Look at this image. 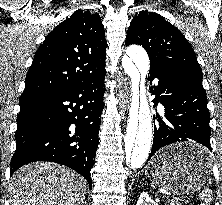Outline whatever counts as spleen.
I'll return each mask as SVG.
<instances>
[{"mask_svg": "<svg viewBox=\"0 0 222 205\" xmlns=\"http://www.w3.org/2000/svg\"><path fill=\"white\" fill-rule=\"evenodd\" d=\"M200 198L206 203L208 204L209 202H211V190L210 189H205L202 191V193L200 194ZM205 205V204H204Z\"/></svg>", "mask_w": 222, "mask_h": 205, "instance_id": "obj_1", "label": "spleen"}]
</instances>
